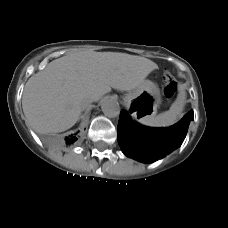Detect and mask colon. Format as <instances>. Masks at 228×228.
Instances as JSON below:
<instances>
[{"instance_id": "5ec220e1", "label": "colon", "mask_w": 228, "mask_h": 228, "mask_svg": "<svg viewBox=\"0 0 228 228\" xmlns=\"http://www.w3.org/2000/svg\"><path fill=\"white\" fill-rule=\"evenodd\" d=\"M164 95L167 98H172L177 92V83L173 75L169 71L163 73Z\"/></svg>"}]
</instances>
